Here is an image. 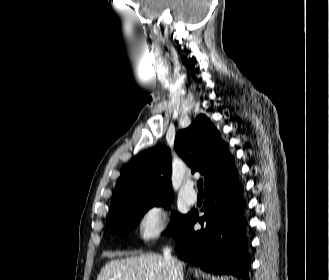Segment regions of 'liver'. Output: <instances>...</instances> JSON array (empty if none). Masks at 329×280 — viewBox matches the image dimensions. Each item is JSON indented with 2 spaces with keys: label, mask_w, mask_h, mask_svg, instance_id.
<instances>
[{
  "label": "liver",
  "mask_w": 329,
  "mask_h": 280,
  "mask_svg": "<svg viewBox=\"0 0 329 280\" xmlns=\"http://www.w3.org/2000/svg\"><path fill=\"white\" fill-rule=\"evenodd\" d=\"M183 267V263L180 262ZM97 280H172L170 268L158 254H142L108 262Z\"/></svg>",
  "instance_id": "1"
}]
</instances>
